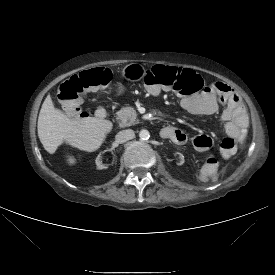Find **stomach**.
<instances>
[{"instance_id": "0dacf381", "label": "stomach", "mask_w": 275, "mask_h": 275, "mask_svg": "<svg viewBox=\"0 0 275 275\" xmlns=\"http://www.w3.org/2000/svg\"><path fill=\"white\" fill-rule=\"evenodd\" d=\"M121 74L127 81L134 82L140 80L144 76L145 69L140 64L130 63L122 69Z\"/></svg>"}]
</instances>
